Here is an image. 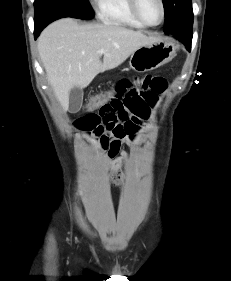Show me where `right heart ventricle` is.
<instances>
[{"mask_svg": "<svg viewBox=\"0 0 231 281\" xmlns=\"http://www.w3.org/2000/svg\"><path fill=\"white\" fill-rule=\"evenodd\" d=\"M98 18L105 24L144 29L133 14L130 0H96Z\"/></svg>", "mask_w": 231, "mask_h": 281, "instance_id": "1", "label": "right heart ventricle"}]
</instances>
